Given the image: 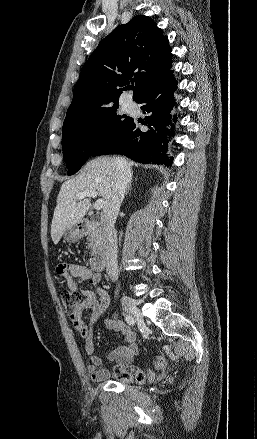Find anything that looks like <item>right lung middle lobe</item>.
I'll list each match as a JSON object with an SVG mask.
<instances>
[{"label": "right lung middle lobe", "instance_id": "1", "mask_svg": "<svg viewBox=\"0 0 257 439\" xmlns=\"http://www.w3.org/2000/svg\"><path fill=\"white\" fill-rule=\"evenodd\" d=\"M118 107L113 104L64 122L62 149L68 175L76 173L99 146L131 121V117L116 113Z\"/></svg>", "mask_w": 257, "mask_h": 439}]
</instances>
